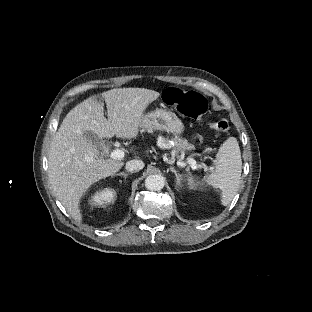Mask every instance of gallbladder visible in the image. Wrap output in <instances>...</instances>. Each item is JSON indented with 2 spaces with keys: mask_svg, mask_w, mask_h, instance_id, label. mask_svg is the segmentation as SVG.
<instances>
[{
  "mask_svg": "<svg viewBox=\"0 0 312 312\" xmlns=\"http://www.w3.org/2000/svg\"><path fill=\"white\" fill-rule=\"evenodd\" d=\"M84 137L88 142H91L97 150L104 152L106 150V145L103 140L93 131H86Z\"/></svg>",
  "mask_w": 312,
  "mask_h": 312,
  "instance_id": "bac80fb5",
  "label": "gallbladder"
}]
</instances>
